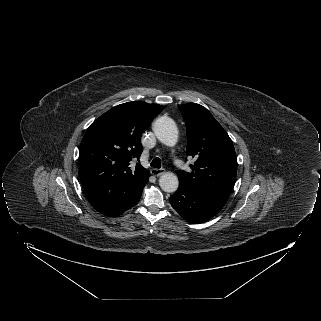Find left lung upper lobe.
Here are the masks:
<instances>
[{"instance_id":"1","label":"left lung upper lobe","mask_w":321,"mask_h":321,"mask_svg":"<svg viewBox=\"0 0 321 321\" xmlns=\"http://www.w3.org/2000/svg\"><path fill=\"white\" fill-rule=\"evenodd\" d=\"M187 131V154L196 162L191 173L178 172L179 184L195 189L230 194L237 174L233 143L203 106L188 103L178 106Z\"/></svg>"}]
</instances>
